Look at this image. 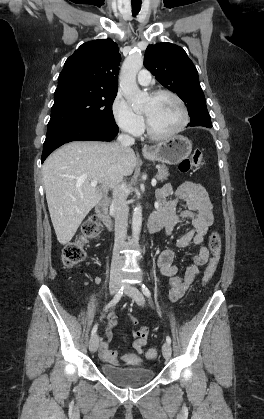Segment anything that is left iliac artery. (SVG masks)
<instances>
[{
    "label": "left iliac artery",
    "instance_id": "1",
    "mask_svg": "<svg viewBox=\"0 0 264 419\" xmlns=\"http://www.w3.org/2000/svg\"><path fill=\"white\" fill-rule=\"evenodd\" d=\"M141 290H142V292H143V294L146 296V297H150L151 296V293H150V290L144 285V284H142L141 285ZM166 341L169 343V344H171V338H170V336H167L166 337Z\"/></svg>",
    "mask_w": 264,
    "mask_h": 419
}]
</instances>
